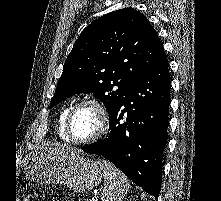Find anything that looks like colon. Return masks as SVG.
<instances>
[{
    "instance_id": "obj_1",
    "label": "colon",
    "mask_w": 221,
    "mask_h": 201,
    "mask_svg": "<svg viewBox=\"0 0 221 201\" xmlns=\"http://www.w3.org/2000/svg\"><path fill=\"white\" fill-rule=\"evenodd\" d=\"M21 201H29L27 198H23Z\"/></svg>"
}]
</instances>
